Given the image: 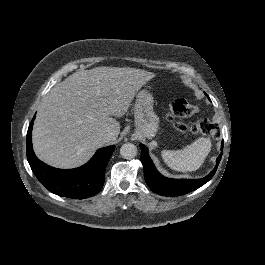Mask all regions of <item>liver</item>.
Returning <instances> with one entry per match:
<instances>
[{
  "instance_id": "1",
  "label": "liver",
  "mask_w": 265,
  "mask_h": 265,
  "mask_svg": "<svg viewBox=\"0 0 265 265\" xmlns=\"http://www.w3.org/2000/svg\"><path fill=\"white\" fill-rule=\"evenodd\" d=\"M155 74L135 68L96 67L77 71L43 99L33 127L37 157L58 168L84 164L120 133V123L135 94ZM107 128L115 138L106 140Z\"/></svg>"
}]
</instances>
